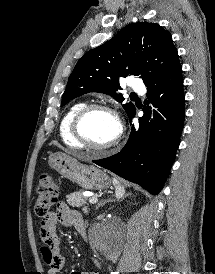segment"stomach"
Segmentation results:
<instances>
[{
    "label": "stomach",
    "mask_w": 215,
    "mask_h": 274,
    "mask_svg": "<svg viewBox=\"0 0 215 274\" xmlns=\"http://www.w3.org/2000/svg\"><path fill=\"white\" fill-rule=\"evenodd\" d=\"M48 164L65 178L86 190H103L111 185L109 176L93 165H85L62 152L50 155ZM125 193L123 191L122 197Z\"/></svg>",
    "instance_id": "1"
}]
</instances>
